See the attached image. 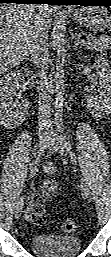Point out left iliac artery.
<instances>
[{
    "mask_svg": "<svg viewBox=\"0 0 111 257\" xmlns=\"http://www.w3.org/2000/svg\"><path fill=\"white\" fill-rule=\"evenodd\" d=\"M61 137L63 139V142H64V145H65L66 149L69 151V154H70L72 160L76 162V155H75V153L72 149V146H71V143H70L69 139L67 138V136H66V134L64 133L63 130L61 131Z\"/></svg>",
    "mask_w": 111,
    "mask_h": 257,
    "instance_id": "left-iliac-artery-1",
    "label": "left iliac artery"
}]
</instances>
